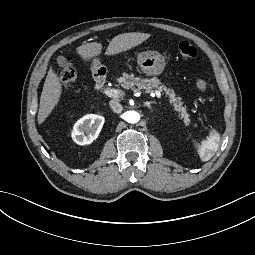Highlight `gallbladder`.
I'll return each instance as SVG.
<instances>
[{
    "instance_id": "obj_1",
    "label": "gallbladder",
    "mask_w": 255,
    "mask_h": 255,
    "mask_svg": "<svg viewBox=\"0 0 255 255\" xmlns=\"http://www.w3.org/2000/svg\"><path fill=\"white\" fill-rule=\"evenodd\" d=\"M57 62L59 64V66H61V67L71 66V63L63 56H58Z\"/></svg>"
}]
</instances>
